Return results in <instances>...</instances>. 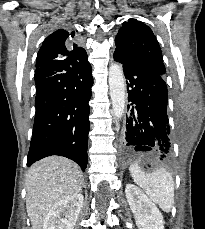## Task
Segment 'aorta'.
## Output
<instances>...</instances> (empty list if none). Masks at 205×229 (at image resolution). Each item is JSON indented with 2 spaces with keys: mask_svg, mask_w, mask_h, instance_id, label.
I'll use <instances>...</instances> for the list:
<instances>
[{
  "mask_svg": "<svg viewBox=\"0 0 205 229\" xmlns=\"http://www.w3.org/2000/svg\"><path fill=\"white\" fill-rule=\"evenodd\" d=\"M109 88L112 103V111L116 118L123 116L125 109V79L122 66L113 63L109 67Z\"/></svg>",
  "mask_w": 205,
  "mask_h": 229,
  "instance_id": "aorta-1",
  "label": "aorta"
}]
</instances>
